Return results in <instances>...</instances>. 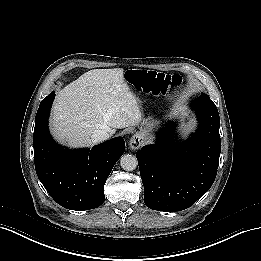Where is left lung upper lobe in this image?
Segmentation results:
<instances>
[{"instance_id":"obj_1","label":"left lung upper lobe","mask_w":261,"mask_h":261,"mask_svg":"<svg viewBox=\"0 0 261 261\" xmlns=\"http://www.w3.org/2000/svg\"><path fill=\"white\" fill-rule=\"evenodd\" d=\"M200 97H201V98H204V99L210 100L209 96H208L207 94H204V93H203Z\"/></svg>"}]
</instances>
